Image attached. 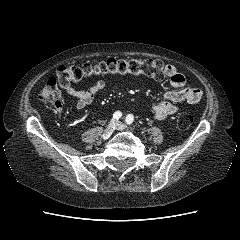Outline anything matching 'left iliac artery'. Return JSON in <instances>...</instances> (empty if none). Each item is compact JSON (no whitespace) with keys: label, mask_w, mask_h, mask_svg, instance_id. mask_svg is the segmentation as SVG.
<instances>
[{"label":"left iliac artery","mask_w":240,"mask_h":240,"mask_svg":"<svg viewBox=\"0 0 240 240\" xmlns=\"http://www.w3.org/2000/svg\"><path fill=\"white\" fill-rule=\"evenodd\" d=\"M126 123L129 125V124H132L133 121H134V116L132 114H128L126 116V119H125Z\"/></svg>","instance_id":"44dca946"}]
</instances>
